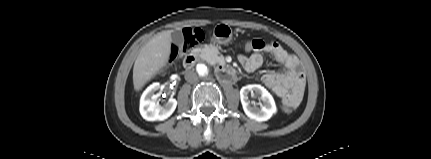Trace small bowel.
I'll return each mask as SVG.
<instances>
[{
  "label": "small bowel",
  "instance_id": "small-bowel-1",
  "mask_svg": "<svg viewBox=\"0 0 431 159\" xmlns=\"http://www.w3.org/2000/svg\"><path fill=\"white\" fill-rule=\"evenodd\" d=\"M250 55H240L239 62L247 72L258 69L264 61L263 53L270 54L283 65V72H268L262 81L279 98L283 106L293 111L301 102L305 89V76L298 59L276 42L253 39Z\"/></svg>",
  "mask_w": 431,
  "mask_h": 159
}]
</instances>
